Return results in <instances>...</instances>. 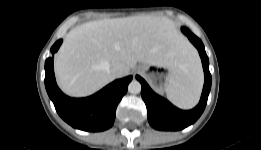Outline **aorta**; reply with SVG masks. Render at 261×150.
Listing matches in <instances>:
<instances>
[{"mask_svg": "<svg viewBox=\"0 0 261 150\" xmlns=\"http://www.w3.org/2000/svg\"><path fill=\"white\" fill-rule=\"evenodd\" d=\"M128 91L131 94H138L141 91V84L137 80H132L128 86Z\"/></svg>", "mask_w": 261, "mask_h": 150, "instance_id": "1", "label": "aorta"}]
</instances>
